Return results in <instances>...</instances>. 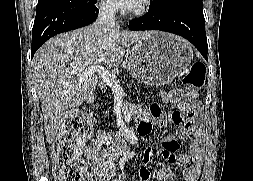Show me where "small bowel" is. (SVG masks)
<instances>
[{"mask_svg": "<svg viewBox=\"0 0 253 181\" xmlns=\"http://www.w3.org/2000/svg\"><path fill=\"white\" fill-rule=\"evenodd\" d=\"M187 98L188 102L184 101ZM194 96H189L181 90H172L162 95V102L167 105H176L179 110L174 111L171 115V121L181 124L184 127L182 139L194 132L193 121L190 118L184 119L181 111L192 108L191 103ZM193 109V108H192ZM136 113L141 122L137 128V133L141 137H145L150 133L154 125H160L163 122L162 109L159 104H154L149 109H136ZM115 142L113 134L106 131H99L92 139L91 143L84 148V154L91 165L92 173L99 181H110L115 171L116 153L112 150H104L105 145ZM179 143L175 136H166L162 140V148L148 147L143 155V164L139 170V181H149L151 171L149 162L155 156L161 155L170 163H178L185 166L184 180L198 181L203 164V140L199 133L190 146L189 153H180L175 155ZM157 181H176L171 173L164 167L156 171Z\"/></svg>", "mask_w": 253, "mask_h": 181, "instance_id": "c3829d8e", "label": "small bowel"}]
</instances>
